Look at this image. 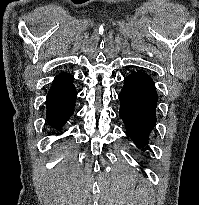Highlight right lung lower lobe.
<instances>
[{"label": "right lung lower lobe", "instance_id": "right-lung-lower-lobe-1", "mask_svg": "<svg viewBox=\"0 0 199 205\" xmlns=\"http://www.w3.org/2000/svg\"><path fill=\"white\" fill-rule=\"evenodd\" d=\"M73 76L61 72L54 78L46 97V119L55 129H60L74 113L77 92Z\"/></svg>", "mask_w": 199, "mask_h": 205}]
</instances>
